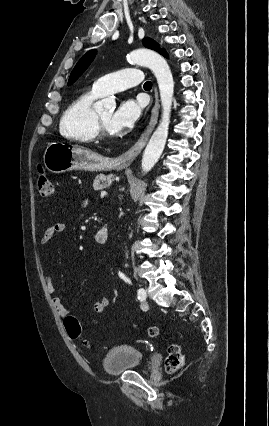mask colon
Wrapping results in <instances>:
<instances>
[{
    "label": "colon",
    "mask_w": 269,
    "mask_h": 426,
    "mask_svg": "<svg viewBox=\"0 0 269 426\" xmlns=\"http://www.w3.org/2000/svg\"><path fill=\"white\" fill-rule=\"evenodd\" d=\"M37 188L39 194L43 197H50L54 193V186L42 165H39L38 167ZM65 328L71 339L81 340L84 344H88V342L82 337L81 326L76 317L67 316L65 318ZM148 335L153 338L157 337L160 335V329L156 326H152L148 329ZM167 352L168 357L165 362L166 369L170 373H175L179 371L184 364V355L181 347L176 343H171L168 346Z\"/></svg>",
    "instance_id": "5ec220e1"
}]
</instances>
